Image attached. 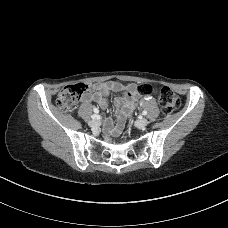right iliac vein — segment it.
<instances>
[{
  "label": "right iliac vein",
  "mask_w": 228,
  "mask_h": 228,
  "mask_svg": "<svg viewBox=\"0 0 228 228\" xmlns=\"http://www.w3.org/2000/svg\"><path fill=\"white\" fill-rule=\"evenodd\" d=\"M88 124H89V126H91V127H97V126L100 125V122H99V120L94 119V120L89 121Z\"/></svg>",
  "instance_id": "63e3f726"
}]
</instances>
